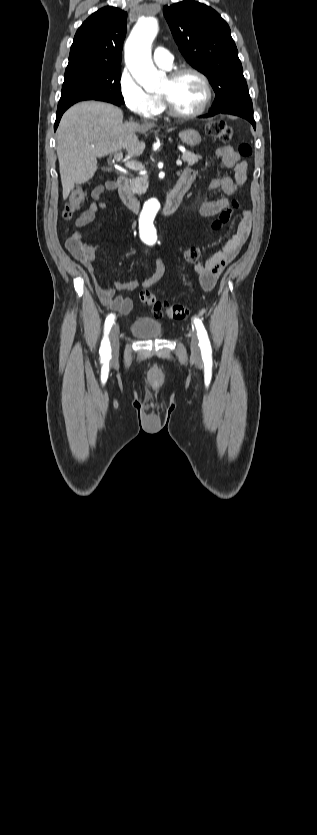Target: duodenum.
Here are the masks:
<instances>
[{
    "label": "duodenum",
    "mask_w": 317,
    "mask_h": 835,
    "mask_svg": "<svg viewBox=\"0 0 317 835\" xmlns=\"http://www.w3.org/2000/svg\"><path fill=\"white\" fill-rule=\"evenodd\" d=\"M113 189L118 190L119 197L123 204L132 211H139L140 201L129 191L128 178L124 175L118 177L116 182H111ZM189 189L188 185L179 180L173 190L168 194L164 201L163 213L171 214L175 212L181 204V201Z\"/></svg>",
    "instance_id": "1"
}]
</instances>
